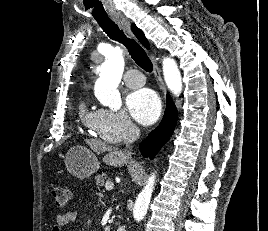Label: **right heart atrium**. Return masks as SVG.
<instances>
[{
    "label": "right heart atrium",
    "mask_w": 268,
    "mask_h": 231,
    "mask_svg": "<svg viewBox=\"0 0 268 231\" xmlns=\"http://www.w3.org/2000/svg\"><path fill=\"white\" fill-rule=\"evenodd\" d=\"M93 129L102 140L119 144L132 136L134 125L123 111L101 108L96 110Z\"/></svg>",
    "instance_id": "right-heart-atrium-1"
}]
</instances>
